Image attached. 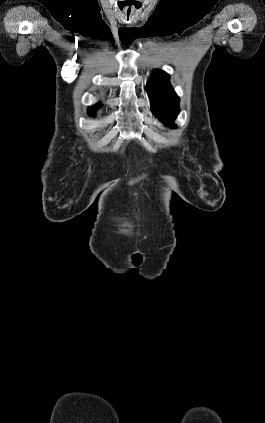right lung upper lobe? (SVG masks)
Returning a JSON list of instances; mask_svg holds the SVG:
<instances>
[{"label": "right lung upper lobe", "instance_id": "cb5924a9", "mask_svg": "<svg viewBox=\"0 0 265 423\" xmlns=\"http://www.w3.org/2000/svg\"><path fill=\"white\" fill-rule=\"evenodd\" d=\"M89 114L92 115L94 113L93 107L88 110Z\"/></svg>", "mask_w": 265, "mask_h": 423}]
</instances>
